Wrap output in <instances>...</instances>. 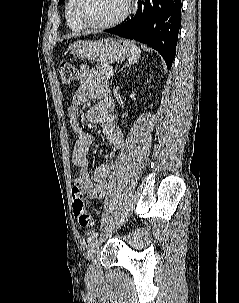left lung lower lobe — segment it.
Listing matches in <instances>:
<instances>
[{
	"mask_svg": "<svg viewBox=\"0 0 239 303\" xmlns=\"http://www.w3.org/2000/svg\"><path fill=\"white\" fill-rule=\"evenodd\" d=\"M181 0H137L135 14L105 32L134 39L157 50L170 69L181 26Z\"/></svg>",
	"mask_w": 239,
	"mask_h": 303,
	"instance_id": "1",
	"label": "left lung lower lobe"
}]
</instances>
